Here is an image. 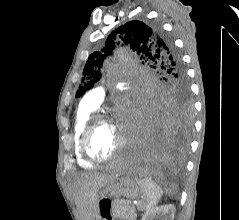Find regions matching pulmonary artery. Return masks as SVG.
<instances>
[{"label": "pulmonary artery", "instance_id": "pulmonary-artery-1", "mask_svg": "<svg viewBox=\"0 0 239 220\" xmlns=\"http://www.w3.org/2000/svg\"><path fill=\"white\" fill-rule=\"evenodd\" d=\"M105 91L103 87H96L90 90L81 100L80 106L95 110L99 107L104 99Z\"/></svg>", "mask_w": 239, "mask_h": 220}]
</instances>
